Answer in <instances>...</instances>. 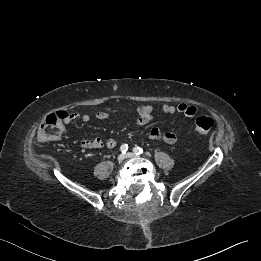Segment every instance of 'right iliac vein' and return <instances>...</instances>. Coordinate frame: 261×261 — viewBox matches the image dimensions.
I'll use <instances>...</instances> for the list:
<instances>
[{
    "mask_svg": "<svg viewBox=\"0 0 261 261\" xmlns=\"http://www.w3.org/2000/svg\"><path fill=\"white\" fill-rule=\"evenodd\" d=\"M125 158H126V156L124 154H120L117 159L119 162H122V161H124Z\"/></svg>",
    "mask_w": 261,
    "mask_h": 261,
    "instance_id": "63e3f726",
    "label": "right iliac vein"
}]
</instances>
